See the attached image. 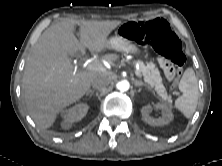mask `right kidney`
<instances>
[{"mask_svg":"<svg viewBox=\"0 0 222 166\" xmlns=\"http://www.w3.org/2000/svg\"><path fill=\"white\" fill-rule=\"evenodd\" d=\"M89 106L85 103L76 104L75 106L61 111L63 129H69L72 123L80 121L88 111Z\"/></svg>","mask_w":222,"mask_h":166,"instance_id":"right-kidney-1","label":"right kidney"}]
</instances>
